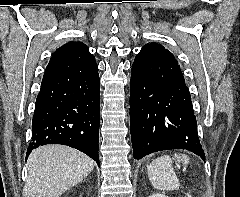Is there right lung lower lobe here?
I'll use <instances>...</instances> for the list:
<instances>
[{"label":"right lung lower lobe","instance_id":"1","mask_svg":"<svg viewBox=\"0 0 240 197\" xmlns=\"http://www.w3.org/2000/svg\"><path fill=\"white\" fill-rule=\"evenodd\" d=\"M98 67L43 77L35 103L29 153L42 145L76 148L99 165Z\"/></svg>","mask_w":240,"mask_h":197}]
</instances>
